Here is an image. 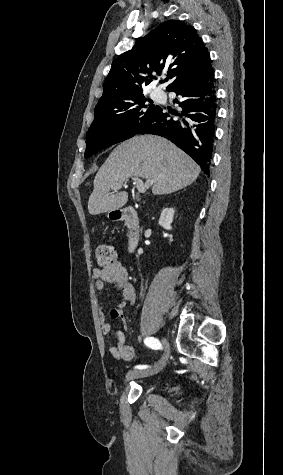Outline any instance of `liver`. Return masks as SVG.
Instances as JSON below:
<instances>
[{"label":"liver","instance_id":"liver-1","mask_svg":"<svg viewBox=\"0 0 283 475\" xmlns=\"http://www.w3.org/2000/svg\"><path fill=\"white\" fill-rule=\"evenodd\" d=\"M201 170L185 152L161 136H134L111 152L94 178L88 200L91 216L112 212L125 206L127 192L109 194L127 178H146L157 196L172 194L193 184Z\"/></svg>","mask_w":283,"mask_h":475}]
</instances>
